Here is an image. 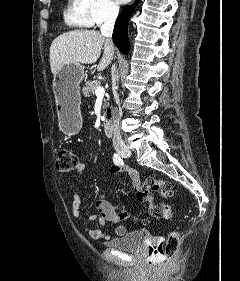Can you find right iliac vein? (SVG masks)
Wrapping results in <instances>:
<instances>
[{"label": "right iliac vein", "mask_w": 240, "mask_h": 281, "mask_svg": "<svg viewBox=\"0 0 240 281\" xmlns=\"http://www.w3.org/2000/svg\"><path fill=\"white\" fill-rule=\"evenodd\" d=\"M117 152L123 157H130L132 155L131 150L126 146L117 147Z\"/></svg>", "instance_id": "1"}]
</instances>
